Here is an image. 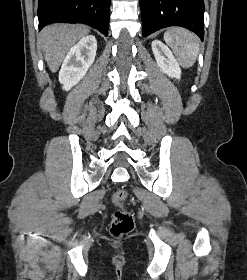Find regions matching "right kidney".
I'll return each instance as SVG.
<instances>
[{
    "mask_svg": "<svg viewBox=\"0 0 247 280\" xmlns=\"http://www.w3.org/2000/svg\"><path fill=\"white\" fill-rule=\"evenodd\" d=\"M96 50L97 41L93 35L83 37L71 48L59 72V81L64 90H70L85 76L95 60Z\"/></svg>",
    "mask_w": 247,
    "mask_h": 280,
    "instance_id": "right-kidney-1",
    "label": "right kidney"
}]
</instances>
